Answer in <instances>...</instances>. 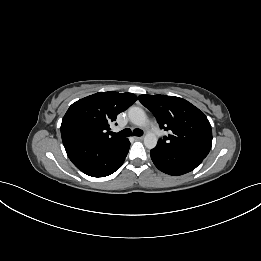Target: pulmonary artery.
Listing matches in <instances>:
<instances>
[{
	"mask_svg": "<svg viewBox=\"0 0 261 261\" xmlns=\"http://www.w3.org/2000/svg\"><path fill=\"white\" fill-rule=\"evenodd\" d=\"M152 129H153V131H154L157 135H160V134H161L160 131L157 129V127H155V126L152 125Z\"/></svg>",
	"mask_w": 261,
	"mask_h": 261,
	"instance_id": "e3ab8cb5",
	"label": "pulmonary artery"
}]
</instances>
